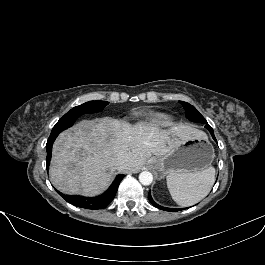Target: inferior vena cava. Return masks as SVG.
Returning a JSON list of instances; mask_svg holds the SVG:
<instances>
[{"label":"inferior vena cava","mask_w":265,"mask_h":265,"mask_svg":"<svg viewBox=\"0 0 265 265\" xmlns=\"http://www.w3.org/2000/svg\"><path fill=\"white\" fill-rule=\"evenodd\" d=\"M125 163V157L122 153H119L116 158V164L118 167H121Z\"/></svg>","instance_id":"602c4592"}]
</instances>
